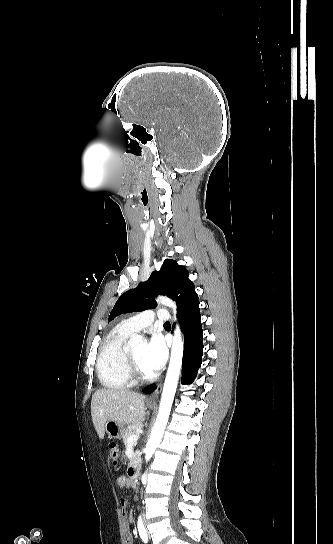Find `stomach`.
Returning a JSON list of instances; mask_svg holds the SVG:
<instances>
[{"mask_svg": "<svg viewBox=\"0 0 333 544\" xmlns=\"http://www.w3.org/2000/svg\"><path fill=\"white\" fill-rule=\"evenodd\" d=\"M104 431L108 434L109 438L120 439L125 428L123 424L109 420L105 423Z\"/></svg>", "mask_w": 333, "mask_h": 544, "instance_id": "0dacf381", "label": "stomach"}]
</instances>
